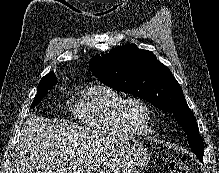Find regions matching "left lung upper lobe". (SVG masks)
Here are the masks:
<instances>
[{
	"label": "left lung upper lobe",
	"mask_w": 219,
	"mask_h": 173,
	"mask_svg": "<svg viewBox=\"0 0 219 173\" xmlns=\"http://www.w3.org/2000/svg\"><path fill=\"white\" fill-rule=\"evenodd\" d=\"M91 72L107 86L143 98L172 113L185 131L191 150L203 158L204 145L182 88L167 66L135 44L118 46L90 60Z\"/></svg>",
	"instance_id": "5c2ea615"
}]
</instances>
